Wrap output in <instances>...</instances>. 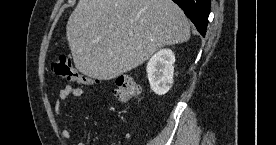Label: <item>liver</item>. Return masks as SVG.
<instances>
[{
    "mask_svg": "<svg viewBox=\"0 0 276 145\" xmlns=\"http://www.w3.org/2000/svg\"><path fill=\"white\" fill-rule=\"evenodd\" d=\"M66 35L76 68L110 80L158 49L190 38V24L172 0H79Z\"/></svg>",
    "mask_w": 276,
    "mask_h": 145,
    "instance_id": "6515ba94",
    "label": "liver"
}]
</instances>
